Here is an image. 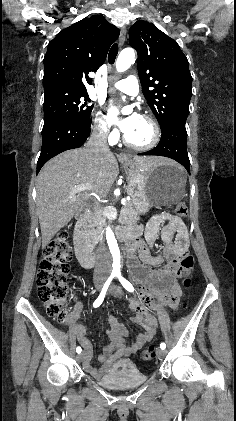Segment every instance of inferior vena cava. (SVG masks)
Wrapping results in <instances>:
<instances>
[{
    "mask_svg": "<svg viewBox=\"0 0 236 421\" xmlns=\"http://www.w3.org/2000/svg\"><path fill=\"white\" fill-rule=\"evenodd\" d=\"M108 128L105 126H95L93 132L86 144L88 150L93 152L95 160L97 156L103 154V152H110L108 142ZM95 273H111V261L107 257L106 249L101 247L97 253Z\"/></svg>",
    "mask_w": 236,
    "mask_h": 421,
    "instance_id": "602c4592",
    "label": "inferior vena cava"
}]
</instances>
